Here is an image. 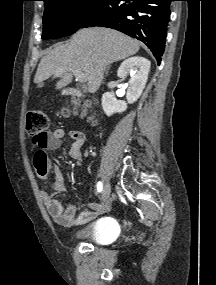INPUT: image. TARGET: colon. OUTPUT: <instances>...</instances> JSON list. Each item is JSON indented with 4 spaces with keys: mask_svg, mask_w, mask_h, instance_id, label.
Returning a JSON list of instances; mask_svg holds the SVG:
<instances>
[{
    "mask_svg": "<svg viewBox=\"0 0 216 285\" xmlns=\"http://www.w3.org/2000/svg\"><path fill=\"white\" fill-rule=\"evenodd\" d=\"M68 109L63 110L67 115ZM49 118L41 110H30L26 117V132L32 140V143L40 150L45 148L48 142Z\"/></svg>",
    "mask_w": 216,
    "mask_h": 285,
    "instance_id": "5ec220e1",
    "label": "colon"
}]
</instances>
